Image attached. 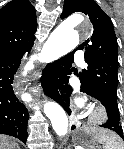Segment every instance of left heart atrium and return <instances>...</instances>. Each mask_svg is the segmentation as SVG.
<instances>
[{
	"label": "left heart atrium",
	"mask_w": 124,
	"mask_h": 149,
	"mask_svg": "<svg viewBox=\"0 0 124 149\" xmlns=\"http://www.w3.org/2000/svg\"><path fill=\"white\" fill-rule=\"evenodd\" d=\"M77 105H78L79 107H82V106H83V102H82L81 100H77Z\"/></svg>",
	"instance_id": "left-heart-atrium-1"
}]
</instances>
